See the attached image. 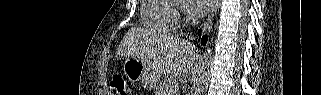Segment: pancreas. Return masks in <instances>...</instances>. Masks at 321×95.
Instances as JSON below:
<instances>
[{
  "label": "pancreas",
  "instance_id": "pancreas-1",
  "mask_svg": "<svg viewBox=\"0 0 321 95\" xmlns=\"http://www.w3.org/2000/svg\"><path fill=\"white\" fill-rule=\"evenodd\" d=\"M177 90L178 89L175 90V81L173 78L171 76H167L157 85L156 95H174Z\"/></svg>",
  "mask_w": 321,
  "mask_h": 95
}]
</instances>
